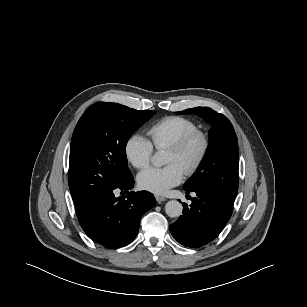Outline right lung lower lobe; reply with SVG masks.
<instances>
[{"label": "right lung lower lobe", "mask_w": 307, "mask_h": 307, "mask_svg": "<svg viewBox=\"0 0 307 307\" xmlns=\"http://www.w3.org/2000/svg\"><path fill=\"white\" fill-rule=\"evenodd\" d=\"M133 186L131 176L122 185L75 206L79 223L91 239L107 248L126 246L134 240L142 215L156 200L147 191L128 192ZM116 190L127 192V197H115Z\"/></svg>", "instance_id": "98d812e1"}]
</instances>
